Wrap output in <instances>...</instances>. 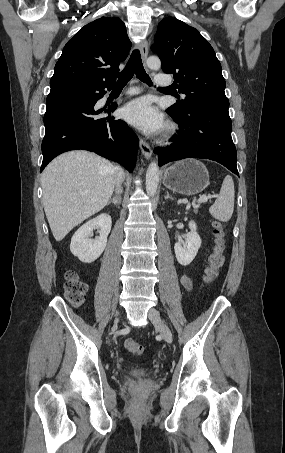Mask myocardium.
<instances>
[{"mask_svg":"<svg viewBox=\"0 0 285 453\" xmlns=\"http://www.w3.org/2000/svg\"><path fill=\"white\" fill-rule=\"evenodd\" d=\"M176 132H177L176 125L174 123H167L162 133V140L169 141L175 136Z\"/></svg>","mask_w":285,"mask_h":453,"instance_id":"obj_1","label":"myocardium"}]
</instances>
